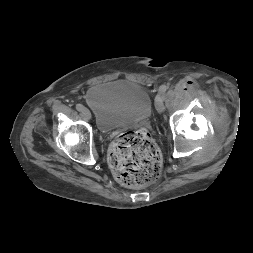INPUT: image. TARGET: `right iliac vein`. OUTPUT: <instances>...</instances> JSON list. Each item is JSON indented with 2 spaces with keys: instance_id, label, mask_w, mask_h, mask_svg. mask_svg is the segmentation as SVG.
Instances as JSON below:
<instances>
[{
  "instance_id": "63e3f726",
  "label": "right iliac vein",
  "mask_w": 253,
  "mask_h": 253,
  "mask_svg": "<svg viewBox=\"0 0 253 253\" xmlns=\"http://www.w3.org/2000/svg\"><path fill=\"white\" fill-rule=\"evenodd\" d=\"M82 116L85 118V119H90L91 118V113L90 111L87 109V108H84L82 110Z\"/></svg>"
}]
</instances>
